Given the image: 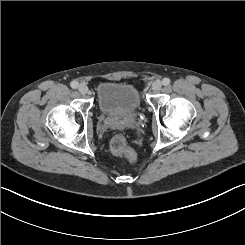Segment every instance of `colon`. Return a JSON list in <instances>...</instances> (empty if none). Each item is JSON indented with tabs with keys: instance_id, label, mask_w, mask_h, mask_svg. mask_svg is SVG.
<instances>
[{
	"instance_id": "colon-1",
	"label": "colon",
	"mask_w": 245,
	"mask_h": 245,
	"mask_svg": "<svg viewBox=\"0 0 245 245\" xmlns=\"http://www.w3.org/2000/svg\"><path fill=\"white\" fill-rule=\"evenodd\" d=\"M110 149L116 155H129L131 153L127 146L126 137L123 134H117L112 138Z\"/></svg>"
}]
</instances>
